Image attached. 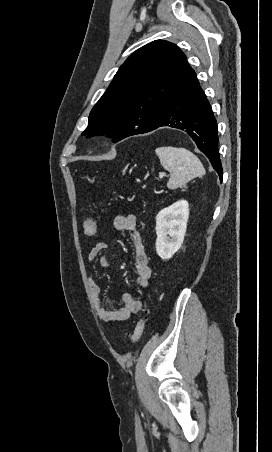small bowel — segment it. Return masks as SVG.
Masks as SVG:
<instances>
[{"mask_svg":"<svg viewBox=\"0 0 272 452\" xmlns=\"http://www.w3.org/2000/svg\"><path fill=\"white\" fill-rule=\"evenodd\" d=\"M114 227L120 231H126L130 235L134 246V261L136 268V284L140 289H147L151 280V268L149 266L148 255L140 231L137 228V219L133 214L120 213L114 218ZM108 249L106 242H98L90 250L88 261L93 262L98 259L103 267L110 265V261L102 253ZM91 293L95 302L99 317L108 324L126 322L134 314L140 312L143 302L133 297L131 294H124L122 297L123 306L119 310L109 308L103 298L104 288L95 279L89 280Z\"/></svg>","mask_w":272,"mask_h":452,"instance_id":"obj_1","label":"small bowel"}]
</instances>
